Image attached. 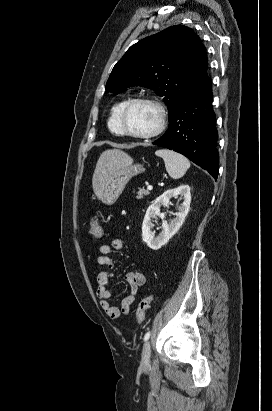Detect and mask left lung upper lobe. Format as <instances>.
I'll use <instances>...</instances> for the list:
<instances>
[{"label":"left lung upper lobe","mask_w":272,"mask_h":411,"mask_svg":"<svg viewBox=\"0 0 272 411\" xmlns=\"http://www.w3.org/2000/svg\"><path fill=\"white\" fill-rule=\"evenodd\" d=\"M206 48L192 29L175 25L131 46L114 66L106 90L114 95L131 86L163 97L169 119L180 103L208 78Z\"/></svg>","instance_id":"obj_1"}]
</instances>
